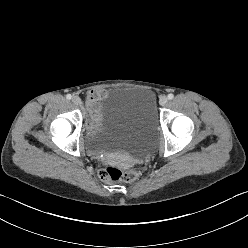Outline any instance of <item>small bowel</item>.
<instances>
[{"label":"small bowel","instance_id":"obj_1","mask_svg":"<svg viewBox=\"0 0 248 248\" xmlns=\"http://www.w3.org/2000/svg\"><path fill=\"white\" fill-rule=\"evenodd\" d=\"M106 94L107 93L104 90H94V91H90L87 95L91 125H98L100 121V115H99L100 107L98 102L102 100L106 96Z\"/></svg>","mask_w":248,"mask_h":248}]
</instances>
